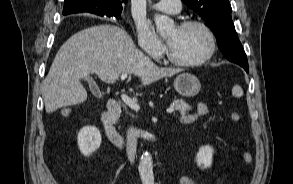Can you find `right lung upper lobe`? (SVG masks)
<instances>
[{
	"label": "right lung upper lobe",
	"mask_w": 293,
	"mask_h": 184,
	"mask_svg": "<svg viewBox=\"0 0 293 184\" xmlns=\"http://www.w3.org/2000/svg\"><path fill=\"white\" fill-rule=\"evenodd\" d=\"M128 0H64L63 15L89 12L99 16H103L102 12L121 11L122 3Z\"/></svg>",
	"instance_id": "cb5924a9"
}]
</instances>
